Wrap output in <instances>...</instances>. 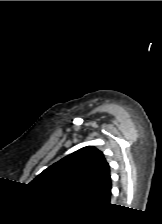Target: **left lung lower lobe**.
<instances>
[{"instance_id": "left-lung-lower-lobe-1", "label": "left lung lower lobe", "mask_w": 162, "mask_h": 224, "mask_svg": "<svg viewBox=\"0 0 162 224\" xmlns=\"http://www.w3.org/2000/svg\"><path fill=\"white\" fill-rule=\"evenodd\" d=\"M111 198V178H109L96 192L87 197L92 202L108 205Z\"/></svg>"}]
</instances>
